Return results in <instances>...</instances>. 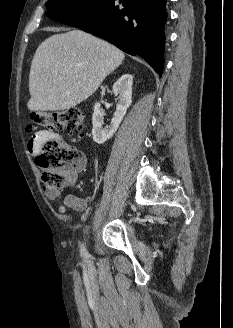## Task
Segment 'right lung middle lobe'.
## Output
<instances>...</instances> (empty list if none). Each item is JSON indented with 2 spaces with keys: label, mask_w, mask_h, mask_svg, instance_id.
I'll return each instance as SVG.
<instances>
[{
  "label": "right lung middle lobe",
  "mask_w": 233,
  "mask_h": 328,
  "mask_svg": "<svg viewBox=\"0 0 233 328\" xmlns=\"http://www.w3.org/2000/svg\"><path fill=\"white\" fill-rule=\"evenodd\" d=\"M100 0H48L46 15L53 20H60L74 12L83 10Z\"/></svg>",
  "instance_id": "right-lung-middle-lobe-1"
}]
</instances>
